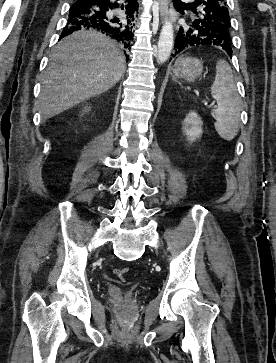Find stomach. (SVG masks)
<instances>
[{"mask_svg":"<svg viewBox=\"0 0 276 363\" xmlns=\"http://www.w3.org/2000/svg\"><path fill=\"white\" fill-rule=\"evenodd\" d=\"M203 72L200 60L191 57L180 58L173 68V79L183 78L189 82L195 81Z\"/></svg>","mask_w":276,"mask_h":363,"instance_id":"obj_1","label":"stomach"}]
</instances>
